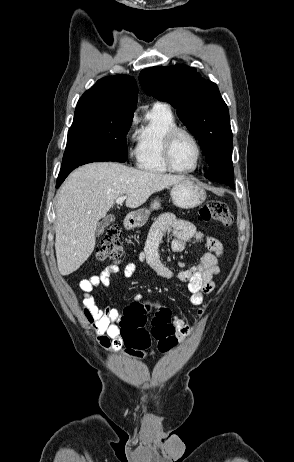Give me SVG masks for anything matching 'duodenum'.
Here are the masks:
<instances>
[{"instance_id": "410a0bca", "label": "duodenum", "mask_w": 294, "mask_h": 462, "mask_svg": "<svg viewBox=\"0 0 294 462\" xmlns=\"http://www.w3.org/2000/svg\"><path fill=\"white\" fill-rule=\"evenodd\" d=\"M124 225L126 229H131L134 225V217L130 215L126 216L124 219Z\"/></svg>"}]
</instances>
